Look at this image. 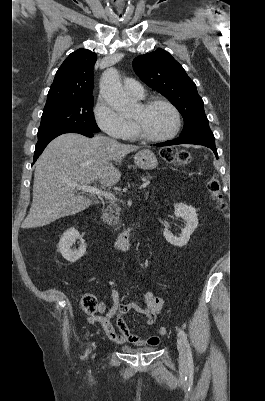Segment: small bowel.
<instances>
[{
  "instance_id": "c3829d8e",
  "label": "small bowel",
  "mask_w": 265,
  "mask_h": 401,
  "mask_svg": "<svg viewBox=\"0 0 265 401\" xmlns=\"http://www.w3.org/2000/svg\"><path fill=\"white\" fill-rule=\"evenodd\" d=\"M112 306L106 311L104 304H100L99 315L91 317L89 319L92 323H99L106 337L114 344L126 345L132 344L135 346H156L160 342V338L156 335L149 336L148 338H141L135 333L134 328H129L123 316L130 311L137 312L147 318V323L153 325L156 322L157 316L160 314L163 308V301L161 298L156 297L152 292H146L144 294V305L138 303H126L122 304L119 302V292L116 288H112L110 291ZM116 317L117 327L119 333L115 331V328L111 322L112 318Z\"/></svg>"
}]
</instances>
